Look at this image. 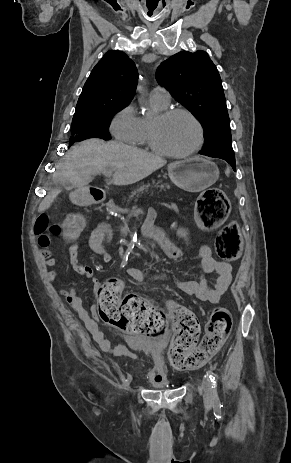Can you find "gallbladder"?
Wrapping results in <instances>:
<instances>
[{
  "label": "gallbladder",
  "mask_w": 291,
  "mask_h": 463,
  "mask_svg": "<svg viewBox=\"0 0 291 463\" xmlns=\"http://www.w3.org/2000/svg\"><path fill=\"white\" fill-rule=\"evenodd\" d=\"M66 187L69 188V189L72 188V186L70 184H67Z\"/></svg>",
  "instance_id": "obj_1"
}]
</instances>
